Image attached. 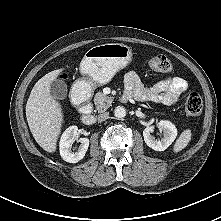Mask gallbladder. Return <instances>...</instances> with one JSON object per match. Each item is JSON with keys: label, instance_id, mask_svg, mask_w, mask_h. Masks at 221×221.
<instances>
[{"label": "gallbladder", "instance_id": "obj_1", "mask_svg": "<svg viewBox=\"0 0 221 221\" xmlns=\"http://www.w3.org/2000/svg\"><path fill=\"white\" fill-rule=\"evenodd\" d=\"M50 87V93L52 97L59 100L65 99L67 97L68 89L64 81L56 79L50 84Z\"/></svg>", "mask_w": 221, "mask_h": 221}]
</instances>
